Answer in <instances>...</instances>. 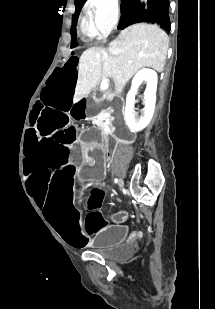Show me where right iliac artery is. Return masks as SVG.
I'll return each instance as SVG.
<instances>
[{"instance_id": "obj_1", "label": "right iliac artery", "mask_w": 215, "mask_h": 309, "mask_svg": "<svg viewBox=\"0 0 215 309\" xmlns=\"http://www.w3.org/2000/svg\"><path fill=\"white\" fill-rule=\"evenodd\" d=\"M114 182H115V183H118V179L115 178V179H114Z\"/></svg>"}]
</instances>
